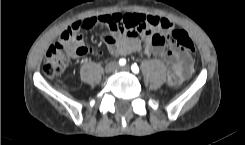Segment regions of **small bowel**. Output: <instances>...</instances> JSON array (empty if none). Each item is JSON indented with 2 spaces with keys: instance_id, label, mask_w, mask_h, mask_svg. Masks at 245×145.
Segmentation results:
<instances>
[{
  "instance_id": "small-bowel-1",
  "label": "small bowel",
  "mask_w": 245,
  "mask_h": 145,
  "mask_svg": "<svg viewBox=\"0 0 245 145\" xmlns=\"http://www.w3.org/2000/svg\"><path fill=\"white\" fill-rule=\"evenodd\" d=\"M91 19L77 22L80 29L86 30L100 26L104 29L103 42L108 46L111 54L115 56H125L140 48L143 42L147 43V55H160L170 65L167 79L170 85L178 86L192 73L194 61L192 55L182 46L170 41L169 48L164 44H158L155 40L156 28L168 31L172 28V23L162 17L153 14H143L138 12L114 13L95 17L96 23L92 24ZM149 33V36L142 37ZM121 34V37H118ZM77 45L87 48V54L92 53V49L85 45L83 40H78Z\"/></svg>"
}]
</instances>
